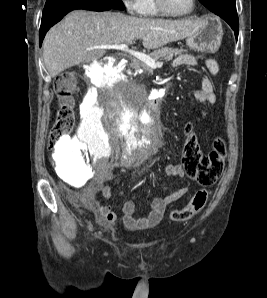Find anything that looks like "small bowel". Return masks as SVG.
Masks as SVG:
<instances>
[{
  "label": "small bowel",
  "mask_w": 267,
  "mask_h": 298,
  "mask_svg": "<svg viewBox=\"0 0 267 298\" xmlns=\"http://www.w3.org/2000/svg\"><path fill=\"white\" fill-rule=\"evenodd\" d=\"M173 67L190 66L194 67L197 65V60L192 55L184 54L174 59L172 63ZM206 65L212 76H215L219 72V65L215 59H208ZM212 76H203L199 81V87L194 91V98L201 103L215 104L217 96L214 90V82ZM164 173L168 177L180 178L189 182V177L186 174L182 165H165ZM106 175L110 176V172L106 171ZM188 192L187 187L180 188L171 194L163 197H156L152 200L149 213L146 217L137 218L135 217V204L133 201L128 200L123 204V224L127 230H146L154 228L160 223L164 215L167 205L179 200ZM101 194L104 198L111 196V188L109 186H103L101 188ZM82 201L85 205L93 208L97 213V220L99 223L106 226H113L118 216L112 210L111 206L102 205L96 199L94 192L88 191L82 196Z\"/></svg>",
  "instance_id": "obj_1"
}]
</instances>
